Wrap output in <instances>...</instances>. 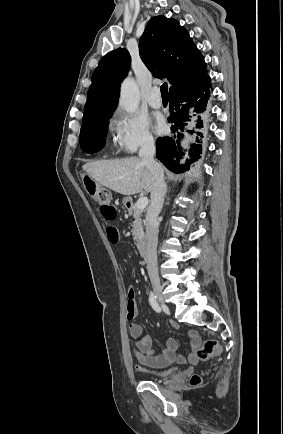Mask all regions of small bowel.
Instances as JSON below:
<instances>
[{
  "label": "small bowel",
  "mask_w": 283,
  "mask_h": 434,
  "mask_svg": "<svg viewBox=\"0 0 283 434\" xmlns=\"http://www.w3.org/2000/svg\"><path fill=\"white\" fill-rule=\"evenodd\" d=\"M99 210L101 216L107 221H114L117 217V210L111 204L100 205ZM107 238L109 242L117 243L119 240L118 229L114 226H110L107 229ZM126 314L129 322L130 336L133 340L134 353L141 365L152 368H165L173 363H186L187 359L183 355H178L176 353L178 344L174 338H169L165 341L164 347L160 353H156L152 349L150 337L144 334L142 326L135 322L137 316V305L133 287H130L127 292ZM171 325L174 329H178L177 323L171 322ZM187 338L192 348L188 361L192 364H197L199 359L196 350L201 344V338L194 330H190L187 333Z\"/></svg>",
  "instance_id": "c3829d8e"
}]
</instances>
